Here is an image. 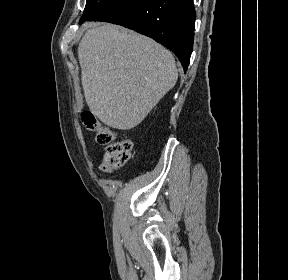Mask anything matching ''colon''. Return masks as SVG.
<instances>
[{"instance_id": "5ec220e1", "label": "colon", "mask_w": 288, "mask_h": 280, "mask_svg": "<svg viewBox=\"0 0 288 280\" xmlns=\"http://www.w3.org/2000/svg\"><path fill=\"white\" fill-rule=\"evenodd\" d=\"M81 119L87 130L95 134L97 142L105 146L101 170L108 173L122 167L130 158L132 141L118 138L116 131L103 125L91 112H82Z\"/></svg>"}]
</instances>
